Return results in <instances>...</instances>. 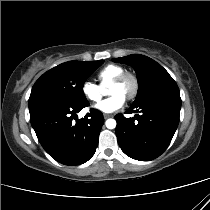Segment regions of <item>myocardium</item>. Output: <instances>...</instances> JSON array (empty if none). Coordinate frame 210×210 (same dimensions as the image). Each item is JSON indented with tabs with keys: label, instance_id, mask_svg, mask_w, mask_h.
Returning <instances> with one entry per match:
<instances>
[{
	"label": "myocardium",
	"instance_id": "1",
	"mask_svg": "<svg viewBox=\"0 0 210 210\" xmlns=\"http://www.w3.org/2000/svg\"><path fill=\"white\" fill-rule=\"evenodd\" d=\"M126 81H130L132 84V89L131 91L126 95L125 99L127 101H132L134 100L140 89V83L138 77L131 73V72H123L120 75H118L110 84V86H119L124 84Z\"/></svg>",
	"mask_w": 210,
	"mask_h": 210
}]
</instances>
